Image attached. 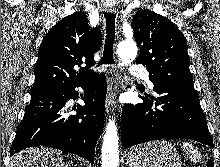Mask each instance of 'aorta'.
<instances>
[{
  "label": "aorta",
  "mask_w": 220,
  "mask_h": 167,
  "mask_svg": "<svg viewBox=\"0 0 220 167\" xmlns=\"http://www.w3.org/2000/svg\"><path fill=\"white\" fill-rule=\"evenodd\" d=\"M137 45L132 39L119 42L117 53L120 58L119 66L130 64L137 56ZM102 167H118L119 165V138L115 120H109L102 145Z\"/></svg>",
  "instance_id": "762f6f07"
}]
</instances>
